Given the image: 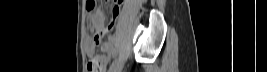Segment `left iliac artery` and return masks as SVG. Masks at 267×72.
Listing matches in <instances>:
<instances>
[{"mask_svg":"<svg viewBox=\"0 0 267 72\" xmlns=\"http://www.w3.org/2000/svg\"><path fill=\"white\" fill-rule=\"evenodd\" d=\"M117 63H118V60H115V61L112 63V65L110 66V69H109V70L115 68L116 65H117Z\"/></svg>","mask_w":267,"mask_h":72,"instance_id":"1","label":"left iliac artery"}]
</instances>
